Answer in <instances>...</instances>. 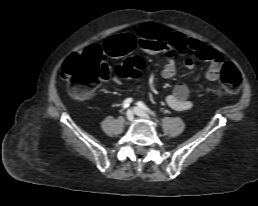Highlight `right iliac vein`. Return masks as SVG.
I'll use <instances>...</instances> for the list:
<instances>
[{
    "instance_id": "right-iliac-vein-1",
    "label": "right iliac vein",
    "mask_w": 258,
    "mask_h": 206,
    "mask_svg": "<svg viewBox=\"0 0 258 206\" xmlns=\"http://www.w3.org/2000/svg\"><path fill=\"white\" fill-rule=\"evenodd\" d=\"M126 118H127L128 121H132L134 119V112H133V110L130 109V110H128L126 112Z\"/></svg>"
}]
</instances>
